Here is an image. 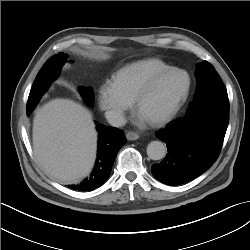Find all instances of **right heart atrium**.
<instances>
[{"mask_svg":"<svg viewBox=\"0 0 250 250\" xmlns=\"http://www.w3.org/2000/svg\"><path fill=\"white\" fill-rule=\"evenodd\" d=\"M98 103L112 123L121 124L133 101L116 90L111 82H104L98 89Z\"/></svg>","mask_w":250,"mask_h":250,"instance_id":"right-heart-atrium-1","label":"right heart atrium"}]
</instances>
